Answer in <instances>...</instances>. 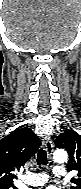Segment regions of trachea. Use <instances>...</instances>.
<instances>
[{
    "label": "trachea",
    "mask_w": 81,
    "mask_h": 189,
    "mask_svg": "<svg viewBox=\"0 0 81 189\" xmlns=\"http://www.w3.org/2000/svg\"><path fill=\"white\" fill-rule=\"evenodd\" d=\"M37 165H47L48 160H47V153L44 149H40L38 154H37Z\"/></svg>",
    "instance_id": "3493384b"
}]
</instances>
